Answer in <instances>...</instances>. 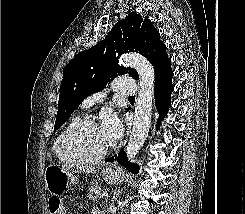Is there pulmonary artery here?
<instances>
[{
    "mask_svg": "<svg viewBox=\"0 0 245 214\" xmlns=\"http://www.w3.org/2000/svg\"><path fill=\"white\" fill-rule=\"evenodd\" d=\"M108 90L125 94L134 95L137 92V83L133 79L117 78L108 85ZM105 98L104 92H98L86 98L82 103L83 109H89L98 102Z\"/></svg>",
    "mask_w": 245,
    "mask_h": 214,
    "instance_id": "e3ab8cb5",
    "label": "pulmonary artery"
}]
</instances>
